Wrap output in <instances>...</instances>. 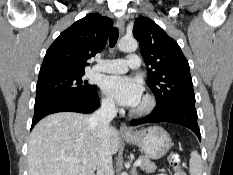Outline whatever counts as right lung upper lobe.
Returning <instances> with one entry per match:
<instances>
[{
  "instance_id": "obj_1",
  "label": "right lung upper lobe",
  "mask_w": 233,
  "mask_h": 175,
  "mask_svg": "<svg viewBox=\"0 0 233 175\" xmlns=\"http://www.w3.org/2000/svg\"><path fill=\"white\" fill-rule=\"evenodd\" d=\"M112 26L110 18L99 14H88L75 22L47 50L39 78L84 72L87 60L105 47Z\"/></svg>"
}]
</instances>
